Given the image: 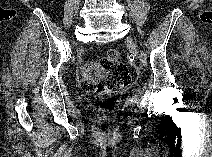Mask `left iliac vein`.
Instances as JSON below:
<instances>
[{"instance_id":"left-iliac-vein-1","label":"left iliac vein","mask_w":212,"mask_h":157,"mask_svg":"<svg viewBox=\"0 0 212 157\" xmlns=\"http://www.w3.org/2000/svg\"><path fill=\"white\" fill-rule=\"evenodd\" d=\"M126 43H127L128 47H129L131 53L133 54V56L136 57L137 59H140L142 61L141 55L139 54V51L137 49V45L134 42V40L131 37H127L126 38Z\"/></svg>"}]
</instances>
